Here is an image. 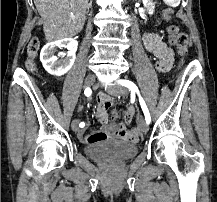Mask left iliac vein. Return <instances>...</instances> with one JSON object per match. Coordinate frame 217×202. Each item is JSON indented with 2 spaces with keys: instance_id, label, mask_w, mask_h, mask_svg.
Returning a JSON list of instances; mask_svg holds the SVG:
<instances>
[{
  "instance_id": "1",
  "label": "left iliac vein",
  "mask_w": 217,
  "mask_h": 202,
  "mask_svg": "<svg viewBox=\"0 0 217 202\" xmlns=\"http://www.w3.org/2000/svg\"><path fill=\"white\" fill-rule=\"evenodd\" d=\"M108 93L113 95V96H126L127 95V89L121 86H112L109 90ZM139 126L142 130V132L147 133L148 131V124L145 119H140L139 121Z\"/></svg>"
}]
</instances>
